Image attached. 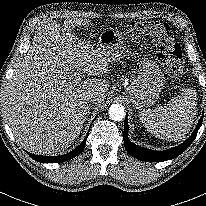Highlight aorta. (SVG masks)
Returning a JSON list of instances; mask_svg holds the SVG:
<instances>
[{
    "label": "aorta",
    "mask_w": 206,
    "mask_h": 206,
    "mask_svg": "<svg viewBox=\"0 0 206 206\" xmlns=\"http://www.w3.org/2000/svg\"><path fill=\"white\" fill-rule=\"evenodd\" d=\"M125 108L121 104H113L109 109V117L114 121H121L125 118Z\"/></svg>",
    "instance_id": "1"
}]
</instances>
